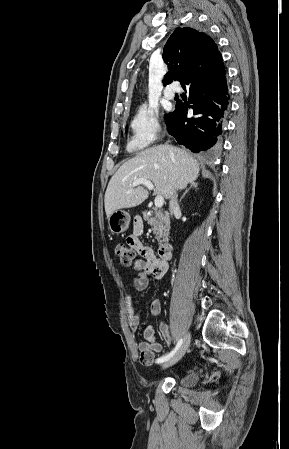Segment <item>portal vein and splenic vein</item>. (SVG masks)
<instances>
[{
	"label": "portal vein and splenic vein",
	"mask_w": 289,
	"mask_h": 449,
	"mask_svg": "<svg viewBox=\"0 0 289 449\" xmlns=\"http://www.w3.org/2000/svg\"><path fill=\"white\" fill-rule=\"evenodd\" d=\"M141 184L145 185L149 190H153L154 189L153 183L150 180H147V179H144V178L136 179L135 181H133L131 186L132 187H136V186L141 185ZM154 202H155V206L157 208H161L163 206V204H164L163 196L162 195H157L155 197Z\"/></svg>",
	"instance_id": "portal-vein-and-splenic-vein-1"
}]
</instances>
